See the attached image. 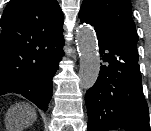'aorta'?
I'll list each match as a JSON object with an SVG mask.
<instances>
[{"instance_id":"aorta-1","label":"aorta","mask_w":151,"mask_h":131,"mask_svg":"<svg viewBox=\"0 0 151 131\" xmlns=\"http://www.w3.org/2000/svg\"><path fill=\"white\" fill-rule=\"evenodd\" d=\"M76 42L80 57V87L89 89L95 84L100 71L98 43L93 28L89 25L80 26Z\"/></svg>"}]
</instances>
